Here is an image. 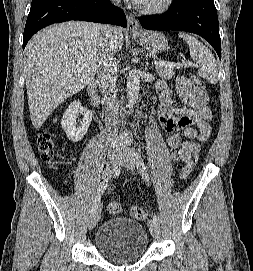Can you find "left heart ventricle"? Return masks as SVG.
Masks as SVG:
<instances>
[{
	"mask_svg": "<svg viewBox=\"0 0 253 271\" xmlns=\"http://www.w3.org/2000/svg\"><path fill=\"white\" fill-rule=\"evenodd\" d=\"M160 0H146L142 5H146V4H153V3H156Z\"/></svg>",
	"mask_w": 253,
	"mask_h": 271,
	"instance_id": "b2bd125f",
	"label": "left heart ventricle"
}]
</instances>
